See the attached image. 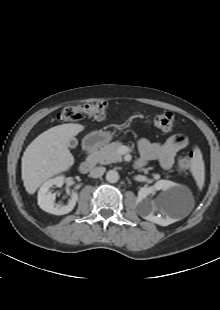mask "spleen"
<instances>
[{
  "label": "spleen",
  "mask_w": 220,
  "mask_h": 310,
  "mask_svg": "<svg viewBox=\"0 0 220 310\" xmlns=\"http://www.w3.org/2000/svg\"><path fill=\"white\" fill-rule=\"evenodd\" d=\"M191 172L198 187L202 189L205 181V169L202 154L198 148L195 149V155L192 160Z\"/></svg>",
  "instance_id": "spleen-1"
}]
</instances>
